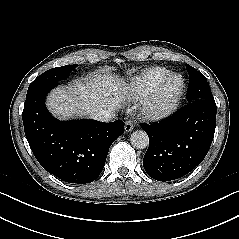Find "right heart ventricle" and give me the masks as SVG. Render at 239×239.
I'll use <instances>...</instances> for the list:
<instances>
[{
    "mask_svg": "<svg viewBox=\"0 0 239 239\" xmlns=\"http://www.w3.org/2000/svg\"><path fill=\"white\" fill-rule=\"evenodd\" d=\"M169 74L170 71L164 67L147 68L130 79L127 89L133 99H141Z\"/></svg>",
    "mask_w": 239,
    "mask_h": 239,
    "instance_id": "obj_1",
    "label": "right heart ventricle"
}]
</instances>
